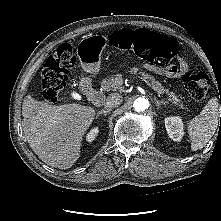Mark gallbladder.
<instances>
[{"instance_id": "obj_1", "label": "gallbladder", "mask_w": 221, "mask_h": 221, "mask_svg": "<svg viewBox=\"0 0 221 221\" xmlns=\"http://www.w3.org/2000/svg\"><path fill=\"white\" fill-rule=\"evenodd\" d=\"M70 98H71V100L74 101V102H79V101L82 100L83 95H82V93L79 92V91H74V92L71 93Z\"/></svg>"}]
</instances>
